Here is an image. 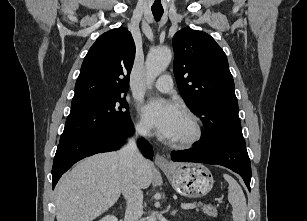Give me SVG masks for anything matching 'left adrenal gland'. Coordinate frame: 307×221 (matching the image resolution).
<instances>
[{"instance_id":"left-adrenal-gland-1","label":"left adrenal gland","mask_w":307,"mask_h":221,"mask_svg":"<svg viewBox=\"0 0 307 221\" xmlns=\"http://www.w3.org/2000/svg\"><path fill=\"white\" fill-rule=\"evenodd\" d=\"M176 212H177V210H173V211H171V214H172V215H175Z\"/></svg>"}]
</instances>
